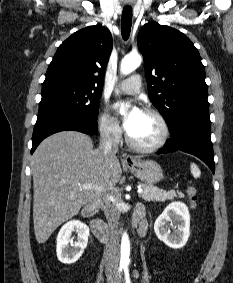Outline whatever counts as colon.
Returning a JSON list of instances; mask_svg holds the SVG:
<instances>
[{
    "label": "colon",
    "mask_w": 233,
    "mask_h": 283,
    "mask_svg": "<svg viewBox=\"0 0 233 283\" xmlns=\"http://www.w3.org/2000/svg\"><path fill=\"white\" fill-rule=\"evenodd\" d=\"M189 203L192 207H195L197 204V194L193 186H189L186 190Z\"/></svg>",
    "instance_id": "colon-1"
}]
</instances>
